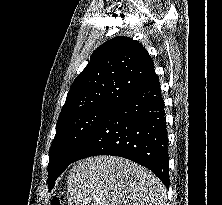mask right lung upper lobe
I'll list each match as a JSON object with an SVG mask.
<instances>
[{"instance_id":"1","label":"right lung upper lobe","mask_w":222,"mask_h":205,"mask_svg":"<svg viewBox=\"0 0 222 205\" xmlns=\"http://www.w3.org/2000/svg\"><path fill=\"white\" fill-rule=\"evenodd\" d=\"M156 78L153 61L139 42L128 37L113 38L93 52L73 82L58 121L93 106L118 103Z\"/></svg>"}]
</instances>
